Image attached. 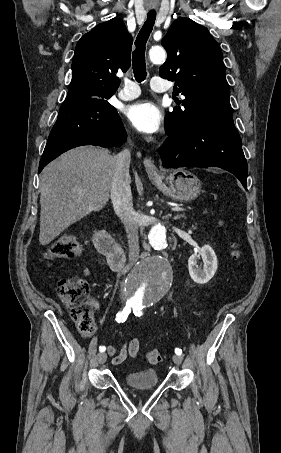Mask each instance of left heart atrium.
Returning a JSON list of instances; mask_svg holds the SVG:
<instances>
[{"instance_id":"1","label":"left heart atrium","mask_w":281,"mask_h":453,"mask_svg":"<svg viewBox=\"0 0 281 453\" xmlns=\"http://www.w3.org/2000/svg\"><path fill=\"white\" fill-rule=\"evenodd\" d=\"M126 117L133 127L146 134L158 132L163 122L161 111L149 101H139L130 106Z\"/></svg>"}]
</instances>
